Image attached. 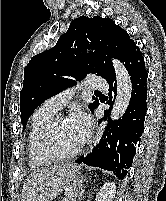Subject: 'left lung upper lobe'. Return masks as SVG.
<instances>
[{
	"instance_id": "1",
	"label": "left lung upper lobe",
	"mask_w": 166,
	"mask_h": 201,
	"mask_svg": "<svg viewBox=\"0 0 166 201\" xmlns=\"http://www.w3.org/2000/svg\"><path fill=\"white\" fill-rule=\"evenodd\" d=\"M133 44L128 33L111 19L84 15L74 19L56 45L35 55L24 69L20 92L21 122L24 127L37 106L74 85L76 80L83 79L89 73L104 79L114 74L111 57L123 62ZM94 47L97 50L94 53H81ZM75 53H78L77 57ZM93 99L88 106L92 112L99 105V100Z\"/></svg>"
}]
</instances>
